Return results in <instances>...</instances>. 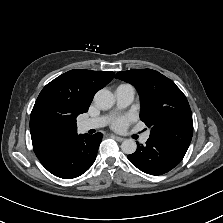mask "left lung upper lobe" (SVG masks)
I'll use <instances>...</instances> for the list:
<instances>
[{
    "instance_id": "5c2ea615",
    "label": "left lung upper lobe",
    "mask_w": 223,
    "mask_h": 223,
    "mask_svg": "<svg viewBox=\"0 0 223 223\" xmlns=\"http://www.w3.org/2000/svg\"><path fill=\"white\" fill-rule=\"evenodd\" d=\"M116 78L132 84L140 95V119L151 128L150 137L188 149L192 134V113L176 84L151 69L119 72Z\"/></svg>"
}]
</instances>
